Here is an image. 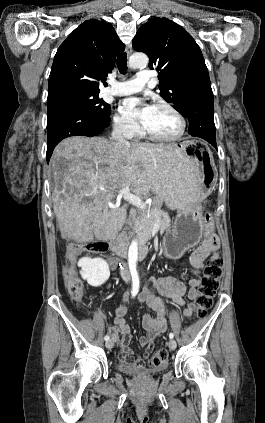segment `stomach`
Returning a JSON list of instances; mask_svg holds the SVG:
<instances>
[{
    "label": "stomach",
    "mask_w": 265,
    "mask_h": 423,
    "mask_svg": "<svg viewBox=\"0 0 265 423\" xmlns=\"http://www.w3.org/2000/svg\"><path fill=\"white\" fill-rule=\"evenodd\" d=\"M173 149L181 154L184 169L190 174V182L188 198L178 210L173 227L165 234L163 254L169 259H179L200 240L201 199L211 191L216 171L212 152L205 142L188 139L175 145Z\"/></svg>",
    "instance_id": "1"
}]
</instances>
